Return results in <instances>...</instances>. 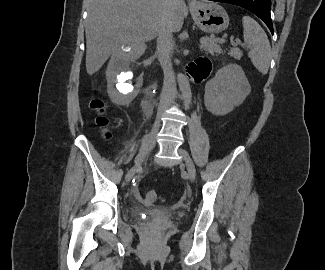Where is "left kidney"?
I'll use <instances>...</instances> for the list:
<instances>
[{
	"instance_id": "1",
	"label": "left kidney",
	"mask_w": 325,
	"mask_h": 270,
	"mask_svg": "<svg viewBox=\"0 0 325 270\" xmlns=\"http://www.w3.org/2000/svg\"><path fill=\"white\" fill-rule=\"evenodd\" d=\"M251 91L243 69L228 64L219 69L205 86L204 102L213 115H226L239 106Z\"/></svg>"
}]
</instances>
